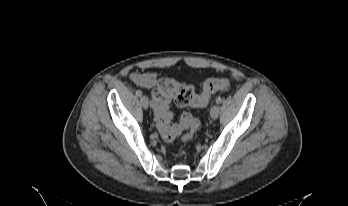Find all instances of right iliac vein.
I'll use <instances>...</instances> for the list:
<instances>
[{"label": "right iliac vein", "mask_w": 348, "mask_h": 206, "mask_svg": "<svg viewBox=\"0 0 348 206\" xmlns=\"http://www.w3.org/2000/svg\"><path fill=\"white\" fill-rule=\"evenodd\" d=\"M140 102H141L142 107H143L145 110H147L148 107H149V100H148V97H147L146 95L141 96Z\"/></svg>", "instance_id": "63e3f726"}]
</instances>
